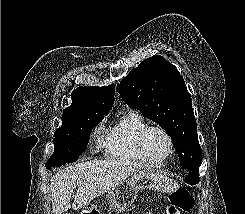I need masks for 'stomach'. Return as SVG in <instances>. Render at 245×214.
Listing matches in <instances>:
<instances>
[{
    "mask_svg": "<svg viewBox=\"0 0 245 214\" xmlns=\"http://www.w3.org/2000/svg\"><path fill=\"white\" fill-rule=\"evenodd\" d=\"M177 188L178 185L172 179L154 171L144 170L134 173L130 178L108 191L106 197L109 208L118 214L125 211L134 202L140 190L149 189L171 193ZM93 211L92 204L85 205V213L92 214Z\"/></svg>",
    "mask_w": 245,
    "mask_h": 214,
    "instance_id": "obj_1",
    "label": "stomach"
}]
</instances>
